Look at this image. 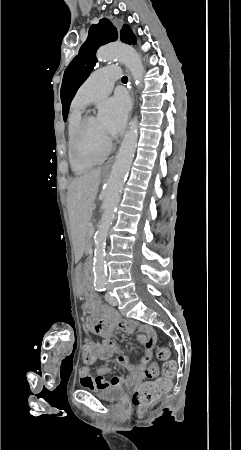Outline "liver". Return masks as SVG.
I'll return each instance as SVG.
<instances>
[{
    "instance_id": "obj_1",
    "label": "liver",
    "mask_w": 241,
    "mask_h": 450,
    "mask_svg": "<svg viewBox=\"0 0 241 450\" xmlns=\"http://www.w3.org/2000/svg\"><path fill=\"white\" fill-rule=\"evenodd\" d=\"M102 168L79 176L68 188L67 206L71 224H88L94 210V200L101 182Z\"/></svg>"
}]
</instances>
